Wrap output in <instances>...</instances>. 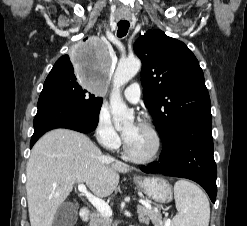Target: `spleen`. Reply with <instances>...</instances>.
I'll use <instances>...</instances> for the list:
<instances>
[{
  "label": "spleen",
  "instance_id": "3e777b00",
  "mask_svg": "<svg viewBox=\"0 0 247 226\" xmlns=\"http://www.w3.org/2000/svg\"><path fill=\"white\" fill-rule=\"evenodd\" d=\"M174 198L178 214L173 219L172 226L209 225V201L198 186L179 180L174 185Z\"/></svg>",
  "mask_w": 247,
  "mask_h": 226
}]
</instances>
